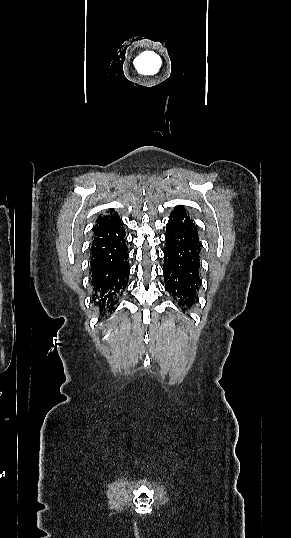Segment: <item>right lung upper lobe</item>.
<instances>
[{"instance_id":"right-lung-upper-lobe-1","label":"right lung upper lobe","mask_w":291,"mask_h":538,"mask_svg":"<svg viewBox=\"0 0 291 538\" xmlns=\"http://www.w3.org/2000/svg\"><path fill=\"white\" fill-rule=\"evenodd\" d=\"M121 219L120 217L117 215V213H115V211L113 209H110V215L108 216H104V217H99L97 219V224L96 226L93 228V231H97V230H100V229H103V228H106L108 226H111L115 223H118L120 222Z\"/></svg>"}]
</instances>
